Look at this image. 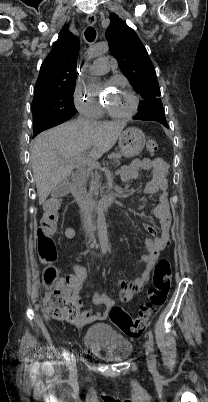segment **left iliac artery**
Wrapping results in <instances>:
<instances>
[{"label":"left iliac artery","instance_id":"44dca946","mask_svg":"<svg viewBox=\"0 0 208 402\" xmlns=\"http://www.w3.org/2000/svg\"><path fill=\"white\" fill-rule=\"evenodd\" d=\"M148 337H149V343L152 347V351H154V339H153V334H152L151 330L148 331Z\"/></svg>","mask_w":208,"mask_h":402}]
</instances>
